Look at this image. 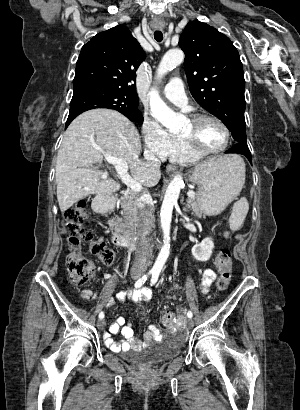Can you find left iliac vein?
I'll list each match as a JSON object with an SVG mask.
<instances>
[{
  "mask_svg": "<svg viewBox=\"0 0 300 410\" xmlns=\"http://www.w3.org/2000/svg\"><path fill=\"white\" fill-rule=\"evenodd\" d=\"M185 321H186V323H187V325H188L189 327H192V326H193V321H192V319L186 318Z\"/></svg>",
  "mask_w": 300,
  "mask_h": 410,
  "instance_id": "obj_1",
  "label": "left iliac vein"
}]
</instances>
